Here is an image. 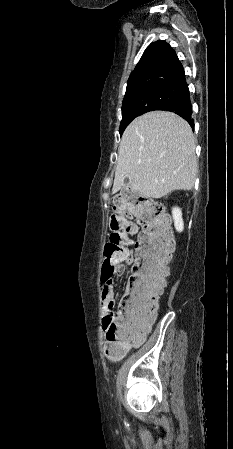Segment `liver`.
<instances>
[{
    "label": "liver",
    "instance_id": "obj_1",
    "mask_svg": "<svg viewBox=\"0 0 233 449\" xmlns=\"http://www.w3.org/2000/svg\"><path fill=\"white\" fill-rule=\"evenodd\" d=\"M190 125L175 113L153 111L125 129L118 150L112 193L130 188L144 197L161 198L174 190H191L198 162Z\"/></svg>",
    "mask_w": 233,
    "mask_h": 449
}]
</instances>
